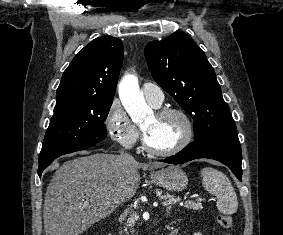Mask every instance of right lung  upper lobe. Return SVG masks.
Wrapping results in <instances>:
<instances>
[{"label":"right lung upper lobe","instance_id":"right-lung-upper-lobe-1","mask_svg":"<svg viewBox=\"0 0 283 235\" xmlns=\"http://www.w3.org/2000/svg\"><path fill=\"white\" fill-rule=\"evenodd\" d=\"M123 55L120 39H94L64 71L56 92L57 102L75 97L113 99Z\"/></svg>","mask_w":283,"mask_h":235}]
</instances>
